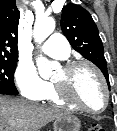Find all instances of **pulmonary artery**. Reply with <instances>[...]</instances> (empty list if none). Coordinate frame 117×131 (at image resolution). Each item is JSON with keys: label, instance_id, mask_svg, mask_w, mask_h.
Returning <instances> with one entry per match:
<instances>
[{"label": "pulmonary artery", "instance_id": "e3ab8cb5", "mask_svg": "<svg viewBox=\"0 0 117 131\" xmlns=\"http://www.w3.org/2000/svg\"><path fill=\"white\" fill-rule=\"evenodd\" d=\"M41 51L56 59H66L70 55V46L63 35L54 33L41 46Z\"/></svg>", "mask_w": 117, "mask_h": 131}]
</instances>
